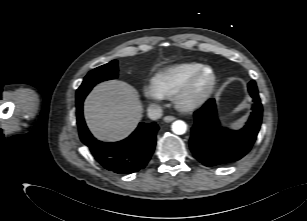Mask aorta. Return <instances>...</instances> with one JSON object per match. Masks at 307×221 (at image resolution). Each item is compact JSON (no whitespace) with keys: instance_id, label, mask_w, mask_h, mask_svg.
I'll return each mask as SVG.
<instances>
[{"instance_id":"aorta-1","label":"aorta","mask_w":307,"mask_h":221,"mask_svg":"<svg viewBox=\"0 0 307 221\" xmlns=\"http://www.w3.org/2000/svg\"><path fill=\"white\" fill-rule=\"evenodd\" d=\"M172 131L177 134V135H182L186 132L187 130V125L184 121L182 120H176L172 123Z\"/></svg>"}]
</instances>
